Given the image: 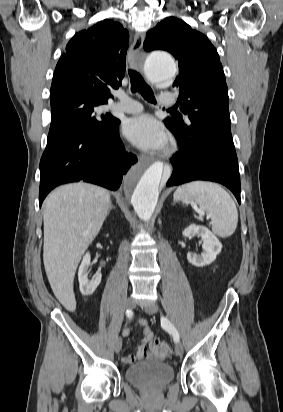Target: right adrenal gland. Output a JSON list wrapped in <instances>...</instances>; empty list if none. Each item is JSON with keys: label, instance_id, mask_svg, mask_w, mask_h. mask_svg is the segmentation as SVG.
Segmentation results:
<instances>
[{"label": "right adrenal gland", "instance_id": "1", "mask_svg": "<svg viewBox=\"0 0 283 412\" xmlns=\"http://www.w3.org/2000/svg\"><path fill=\"white\" fill-rule=\"evenodd\" d=\"M112 209H115V207L112 205V203H110L107 215H109V213Z\"/></svg>", "mask_w": 283, "mask_h": 412}]
</instances>
